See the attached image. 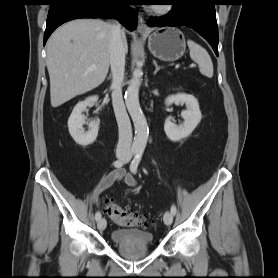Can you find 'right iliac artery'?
Listing matches in <instances>:
<instances>
[{
	"label": "right iliac artery",
	"instance_id": "obj_1",
	"mask_svg": "<svg viewBox=\"0 0 278 278\" xmlns=\"http://www.w3.org/2000/svg\"><path fill=\"white\" fill-rule=\"evenodd\" d=\"M137 150L136 149H132L131 150V155L136 154ZM125 164V160L120 159L114 162V166L119 168L122 167ZM95 219L98 221L99 219H101V213L99 211L96 212L95 214Z\"/></svg>",
	"mask_w": 278,
	"mask_h": 278
}]
</instances>
